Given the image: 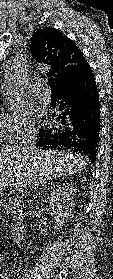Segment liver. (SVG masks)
I'll return each mask as SVG.
<instances>
[{"label": "liver", "instance_id": "6515ba94", "mask_svg": "<svg viewBox=\"0 0 113 279\" xmlns=\"http://www.w3.org/2000/svg\"><path fill=\"white\" fill-rule=\"evenodd\" d=\"M88 163L87 157L72 152L38 148L25 151L18 146H7L0 150V191L14 180L26 187L46 184L53 178L80 173Z\"/></svg>", "mask_w": 113, "mask_h": 279}]
</instances>
